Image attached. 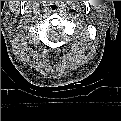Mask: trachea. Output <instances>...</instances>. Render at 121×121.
<instances>
[{"label":"trachea","instance_id":"1","mask_svg":"<svg viewBox=\"0 0 121 121\" xmlns=\"http://www.w3.org/2000/svg\"><path fill=\"white\" fill-rule=\"evenodd\" d=\"M49 9L53 13H58L60 10V5L57 2H53L50 6Z\"/></svg>","mask_w":121,"mask_h":121}]
</instances>
